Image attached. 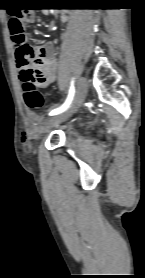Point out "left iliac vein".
Here are the masks:
<instances>
[{"label": "left iliac vein", "mask_w": 145, "mask_h": 278, "mask_svg": "<svg viewBox=\"0 0 145 278\" xmlns=\"http://www.w3.org/2000/svg\"><path fill=\"white\" fill-rule=\"evenodd\" d=\"M87 91H88L87 79L85 77H81L77 87L76 95L73 101L71 102L70 106L64 112L47 119L44 125L41 127L40 132L43 133L49 130L50 128L65 121L66 119H68L83 103Z\"/></svg>", "instance_id": "left-iliac-vein-1"}]
</instances>
